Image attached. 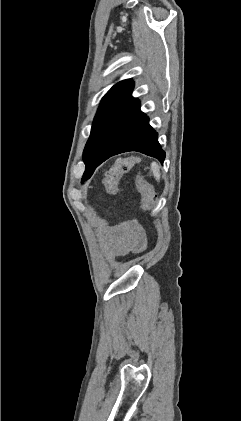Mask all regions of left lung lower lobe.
<instances>
[{
	"label": "left lung lower lobe",
	"instance_id": "1",
	"mask_svg": "<svg viewBox=\"0 0 241 421\" xmlns=\"http://www.w3.org/2000/svg\"><path fill=\"white\" fill-rule=\"evenodd\" d=\"M128 151H138L155 157L161 163L165 159L158 134L149 125V118L140 110V102L133 97L116 122L99 158L86 167L82 182L89 179L96 167L105 160Z\"/></svg>",
	"mask_w": 241,
	"mask_h": 421
}]
</instances>
